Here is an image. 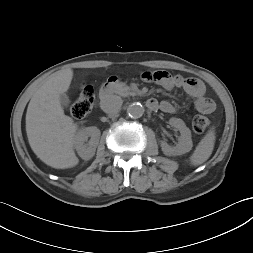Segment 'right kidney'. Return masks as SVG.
<instances>
[{"label":"right kidney","mask_w":253,"mask_h":253,"mask_svg":"<svg viewBox=\"0 0 253 253\" xmlns=\"http://www.w3.org/2000/svg\"><path fill=\"white\" fill-rule=\"evenodd\" d=\"M100 134V130L95 126L82 128L78 131L74 139V147L82 159L89 160L94 156Z\"/></svg>","instance_id":"ca27d5eb"}]
</instances>
